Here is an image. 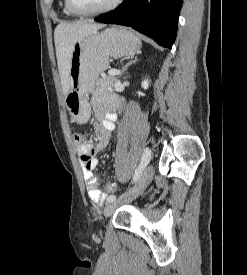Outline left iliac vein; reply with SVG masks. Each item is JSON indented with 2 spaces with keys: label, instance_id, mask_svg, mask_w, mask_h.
<instances>
[{
  "label": "left iliac vein",
  "instance_id": "1",
  "mask_svg": "<svg viewBox=\"0 0 247 275\" xmlns=\"http://www.w3.org/2000/svg\"><path fill=\"white\" fill-rule=\"evenodd\" d=\"M153 176H154V168L152 165H149L144 170L137 184L130 191L124 193L119 200L109 202L106 205L104 209L105 217H110L115 212L117 207L122 203L128 202L136 198L137 196H139L144 191V189L149 185Z\"/></svg>",
  "mask_w": 247,
  "mask_h": 275
}]
</instances>
